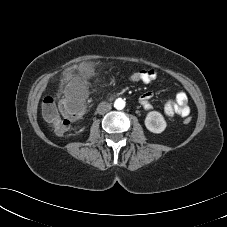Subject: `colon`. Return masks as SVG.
<instances>
[{
	"label": "colon",
	"instance_id": "colon-1",
	"mask_svg": "<svg viewBox=\"0 0 227 227\" xmlns=\"http://www.w3.org/2000/svg\"><path fill=\"white\" fill-rule=\"evenodd\" d=\"M128 81L139 83L143 80L141 70L132 71L126 75ZM82 107L72 101L62 100L58 104L52 97H46L42 103V115L46 122L59 134H65L70 130L71 123L81 117ZM184 123L189 124L191 117L189 113H183Z\"/></svg>",
	"mask_w": 227,
	"mask_h": 227
}]
</instances>
